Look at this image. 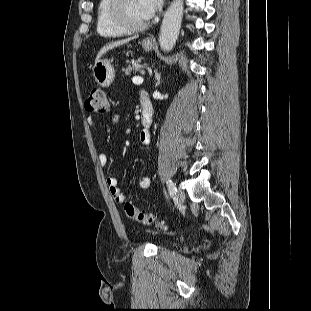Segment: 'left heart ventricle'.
I'll list each match as a JSON object with an SVG mask.
<instances>
[{"instance_id": "b2bd125f", "label": "left heart ventricle", "mask_w": 311, "mask_h": 311, "mask_svg": "<svg viewBox=\"0 0 311 311\" xmlns=\"http://www.w3.org/2000/svg\"><path fill=\"white\" fill-rule=\"evenodd\" d=\"M125 14L132 24H141L148 20L142 12L140 0H126Z\"/></svg>"}]
</instances>
